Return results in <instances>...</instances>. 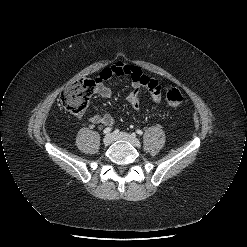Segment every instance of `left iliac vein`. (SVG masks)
I'll list each match as a JSON object with an SVG mask.
<instances>
[{"label": "left iliac vein", "instance_id": "1", "mask_svg": "<svg viewBox=\"0 0 247 247\" xmlns=\"http://www.w3.org/2000/svg\"><path fill=\"white\" fill-rule=\"evenodd\" d=\"M114 140H122L131 143L135 147H139L141 142L134 135H130L125 132L115 133L113 135Z\"/></svg>", "mask_w": 247, "mask_h": 247}]
</instances>
